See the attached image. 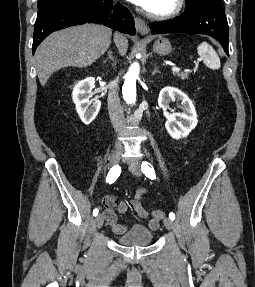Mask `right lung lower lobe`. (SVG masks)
I'll use <instances>...</instances> for the list:
<instances>
[{"mask_svg": "<svg viewBox=\"0 0 255 287\" xmlns=\"http://www.w3.org/2000/svg\"><path fill=\"white\" fill-rule=\"evenodd\" d=\"M113 10V15H108ZM85 23H103L107 27L134 35L136 32L134 18L130 11L121 5H110L103 12L90 7H71L51 10L37 16L32 52L52 32Z\"/></svg>", "mask_w": 255, "mask_h": 287, "instance_id": "obj_1", "label": "right lung lower lobe"}]
</instances>
